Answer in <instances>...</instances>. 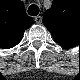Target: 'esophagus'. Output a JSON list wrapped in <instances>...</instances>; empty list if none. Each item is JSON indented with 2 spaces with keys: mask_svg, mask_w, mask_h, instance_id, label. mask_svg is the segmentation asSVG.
I'll return each instance as SVG.
<instances>
[{
  "mask_svg": "<svg viewBox=\"0 0 80 80\" xmlns=\"http://www.w3.org/2000/svg\"><path fill=\"white\" fill-rule=\"evenodd\" d=\"M34 20H35V22L38 23V24L42 23V17H41V16H36V17L34 18Z\"/></svg>",
  "mask_w": 80,
  "mask_h": 80,
  "instance_id": "34e87169",
  "label": "esophagus"
}]
</instances>
